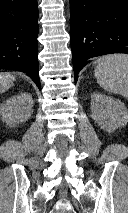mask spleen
<instances>
[{
    "mask_svg": "<svg viewBox=\"0 0 128 213\" xmlns=\"http://www.w3.org/2000/svg\"><path fill=\"white\" fill-rule=\"evenodd\" d=\"M96 63L94 75L100 87L128 99V55H106Z\"/></svg>",
    "mask_w": 128,
    "mask_h": 213,
    "instance_id": "spleen-1",
    "label": "spleen"
}]
</instances>
